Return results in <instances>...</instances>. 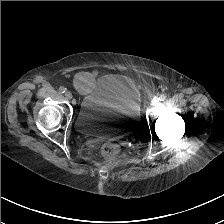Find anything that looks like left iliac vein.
Wrapping results in <instances>:
<instances>
[{
	"mask_svg": "<svg viewBox=\"0 0 224 224\" xmlns=\"http://www.w3.org/2000/svg\"><path fill=\"white\" fill-rule=\"evenodd\" d=\"M158 99L157 98H153L151 101V106H157L158 105Z\"/></svg>",
	"mask_w": 224,
	"mask_h": 224,
	"instance_id": "left-iliac-vein-1",
	"label": "left iliac vein"
}]
</instances>
